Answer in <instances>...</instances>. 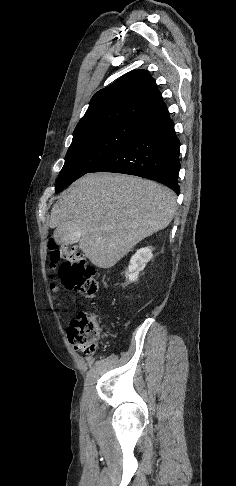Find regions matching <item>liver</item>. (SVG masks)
I'll return each instance as SVG.
<instances>
[{
	"mask_svg": "<svg viewBox=\"0 0 236 486\" xmlns=\"http://www.w3.org/2000/svg\"><path fill=\"white\" fill-rule=\"evenodd\" d=\"M175 207L174 192L154 181L92 173L75 181L53 205L49 226L74 223L81 251L95 266L108 269L141 240L166 228Z\"/></svg>",
	"mask_w": 236,
	"mask_h": 486,
	"instance_id": "liver-1",
	"label": "liver"
}]
</instances>
